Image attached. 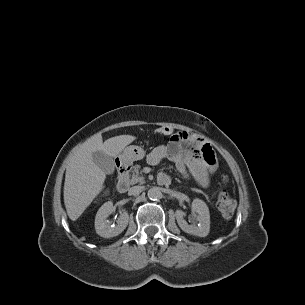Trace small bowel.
Listing matches in <instances>:
<instances>
[{"instance_id": "small-bowel-1", "label": "small bowel", "mask_w": 305, "mask_h": 305, "mask_svg": "<svg viewBox=\"0 0 305 305\" xmlns=\"http://www.w3.org/2000/svg\"><path fill=\"white\" fill-rule=\"evenodd\" d=\"M147 159L151 165L170 160L183 176H191L203 187L208 186L211 175L217 169L212 147L200 136L188 132H179L168 144L154 148ZM161 175L168 176L165 173Z\"/></svg>"}]
</instances>
